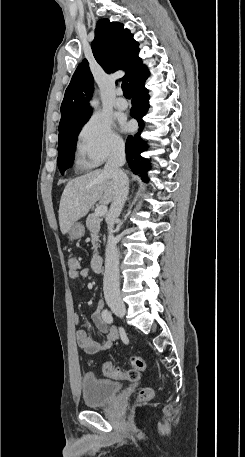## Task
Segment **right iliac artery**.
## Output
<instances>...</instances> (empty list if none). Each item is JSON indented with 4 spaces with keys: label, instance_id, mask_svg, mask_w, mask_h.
<instances>
[{
    "label": "right iliac artery",
    "instance_id": "right-iliac-artery-1",
    "mask_svg": "<svg viewBox=\"0 0 245 457\" xmlns=\"http://www.w3.org/2000/svg\"><path fill=\"white\" fill-rule=\"evenodd\" d=\"M102 318L104 319L105 322L107 323H112L113 322V317L110 311L107 309L103 310L102 312Z\"/></svg>",
    "mask_w": 245,
    "mask_h": 457
}]
</instances>
